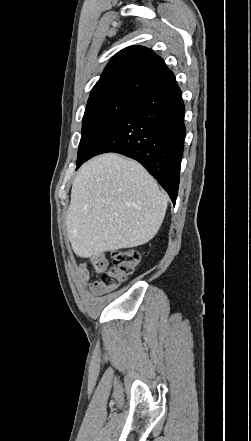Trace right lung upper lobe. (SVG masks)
<instances>
[{
	"label": "right lung upper lobe",
	"mask_w": 251,
	"mask_h": 441,
	"mask_svg": "<svg viewBox=\"0 0 251 441\" xmlns=\"http://www.w3.org/2000/svg\"><path fill=\"white\" fill-rule=\"evenodd\" d=\"M173 75L162 58L150 49L142 46L124 48L105 67L87 104L109 98L139 99Z\"/></svg>",
	"instance_id": "obj_1"
}]
</instances>
